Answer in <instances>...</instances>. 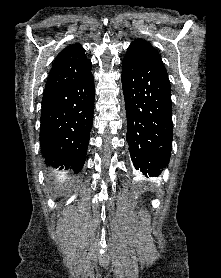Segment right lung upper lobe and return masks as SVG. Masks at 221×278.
I'll return each instance as SVG.
<instances>
[{
  "label": "right lung upper lobe",
  "mask_w": 221,
  "mask_h": 278,
  "mask_svg": "<svg viewBox=\"0 0 221 278\" xmlns=\"http://www.w3.org/2000/svg\"><path fill=\"white\" fill-rule=\"evenodd\" d=\"M90 73L91 61L84 48L79 44L69 45L56 57L44 91L70 84Z\"/></svg>",
  "instance_id": "1"
}]
</instances>
